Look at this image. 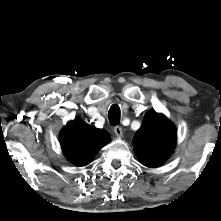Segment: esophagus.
<instances>
[{
	"label": "esophagus",
	"mask_w": 221,
	"mask_h": 221,
	"mask_svg": "<svg viewBox=\"0 0 221 221\" xmlns=\"http://www.w3.org/2000/svg\"><path fill=\"white\" fill-rule=\"evenodd\" d=\"M114 133L118 136L121 137L123 135L122 128L120 126H115L114 127Z\"/></svg>",
	"instance_id": "34e87169"
}]
</instances>
